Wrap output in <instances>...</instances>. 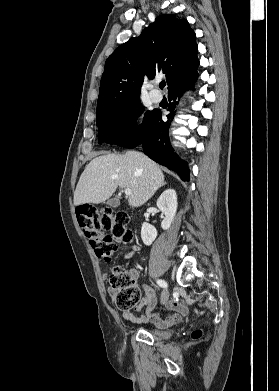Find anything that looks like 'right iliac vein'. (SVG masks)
<instances>
[{
	"label": "right iliac vein",
	"mask_w": 279,
	"mask_h": 391,
	"mask_svg": "<svg viewBox=\"0 0 279 391\" xmlns=\"http://www.w3.org/2000/svg\"><path fill=\"white\" fill-rule=\"evenodd\" d=\"M168 298H169V291L168 289H164L161 295V302L165 303Z\"/></svg>",
	"instance_id": "63e3f726"
}]
</instances>
